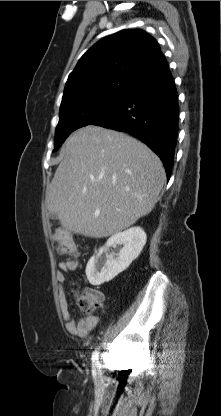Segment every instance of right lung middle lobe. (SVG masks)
<instances>
[{"instance_id": "obj_1", "label": "right lung middle lobe", "mask_w": 221, "mask_h": 416, "mask_svg": "<svg viewBox=\"0 0 221 416\" xmlns=\"http://www.w3.org/2000/svg\"><path fill=\"white\" fill-rule=\"evenodd\" d=\"M131 91L125 88H107L62 103L53 151L74 130L107 117Z\"/></svg>"}]
</instances>
